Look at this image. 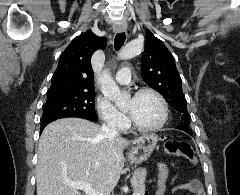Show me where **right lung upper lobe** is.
Masks as SVG:
<instances>
[{
  "label": "right lung upper lobe",
  "instance_id": "1",
  "mask_svg": "<svg viewBox=\"0 0 240 195\" xmlns=\"http://www.w3.org/2000/svg\"><path fill=\"white\" fill-rule=\"evenodd\" d=\"M105 45L106 39L92 31L75 37L59 59L48 95L71 91L95 92L91 56Z\"/></svg>",
  "mask_w": 240,
  "mask_h": 195
}]
</instances>
